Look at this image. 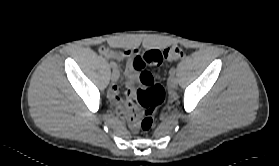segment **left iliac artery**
<instances>
[{
    "instance_id": "44dca946",
    "label": "left iliac artery",
    "mask_w": 279,
    "mask_h": 166,
    "mask_svg": "<svg viewBox=\"0 0 279 166\" xmlns=\"http://www.w3.org/2000/svg\"><path fill=\"white\" fill-rule=\"evenodd\" d=\"M175 71H176V70H175V68L173 67V68L170 69L169 74H170V75H174V74H175Z\"/></svg>"
}]
</instances>
